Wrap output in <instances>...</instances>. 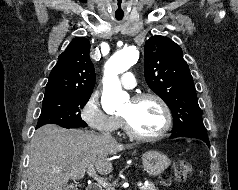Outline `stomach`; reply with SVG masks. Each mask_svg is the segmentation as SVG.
Segmentation results:
<instances>
[{
    "mask_svg": "<svg viewBox=\"0 0 238 190\" xmlns=\"http://www.w3.org/2000/svg\"><path fill=\"white\" fill-rule=\"evenodd\" d=\"M144 170L150 176H158L170 165V159L158 151H147L142 154Z\"/></svg>",
    "mask_w": 238,
    "mask_h": 190,
    "instance_id": "1",
    "label": "stomach"
}]
</instances>
